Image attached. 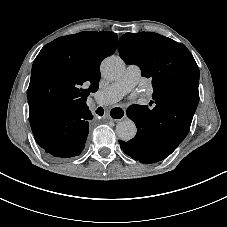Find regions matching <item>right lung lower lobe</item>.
Here are the masks:
<instances>
[{
	"label": "right lung lower lobe",
	"mask_w": 227,
	"mask_h": 227,
	"mask_svg": "<svg viewBox=\"0 0 227 227\" xmlns=\"http://www.w3.org/2000/svg\"><path fill=\"white\" fill-rule=\"evenodd\" d=\"M29 119L39 146L57 158L78 156L85 146L92 119L88 106L56 112L45 104H29Z\"/></svg>",
	"instance_id": "1"
}]
</instances>
